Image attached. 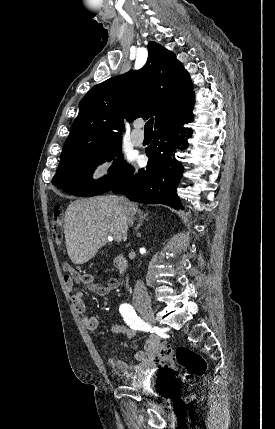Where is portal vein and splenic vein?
<instances>
[{
  "label": "portal vein and splenic vein",
  "mask_w": 275,
  "mask_h": 429,
  "mask_svg": "<svg viewBox=\"0 0 275 429\" xmlns=\"http://www.w3.org/2000/svg\"><path fill=\"white\" fill-rule=\"evenodd\" d=\"M109 239H113V240H116V241H121V235H112V236H109Z\"/></svg>",
  "instance_id": "1"
}]
</instances>
